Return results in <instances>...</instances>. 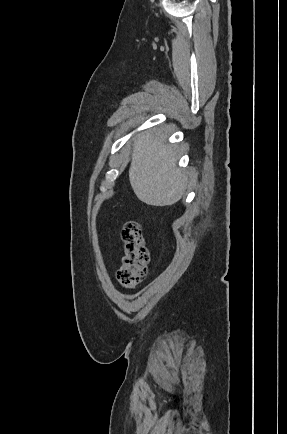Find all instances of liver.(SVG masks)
I'll list each match as a JSON object with an SVG mask.
<instances>
[{
  "label": "liver",
  "mask_w": 287,
  "mask_h": 434,
  "mask_svg": "<svg viewBox=\"0 0 287 434\" xmlns=\"http://www.w3.org/2000/svg\"><path fill=\"white\" fill-rule=\"evenodd\" d=\"M175 148L166 143L162 131L137 135L129 179L137 198L152 206H169L183 196L187 177L177 167Z\"/></svg>",
  "instance_id": "obj_1"
}]
</instances>
